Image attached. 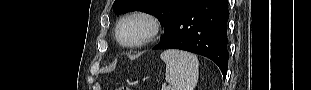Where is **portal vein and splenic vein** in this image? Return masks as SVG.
<instances>
[{
	"label": "portal vein and splenic vein",
	"mask_w": 311,
	"mask_h": 90,
	"mask_svg": "<svg viewBox=\"0 0 311 90\" xmlns=\"http://www.w3.org/2000/svg\"><path fill=\"white\" fill-rule=\"evenodd\" d=\"M163 89H164V90H169V89H170V87H169V86L164 85Z\"/></svg>",
	"instance_id": "obj_1"
}]
</instances>
